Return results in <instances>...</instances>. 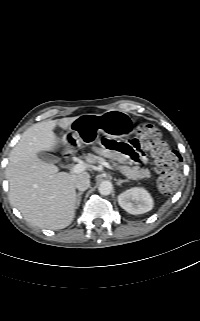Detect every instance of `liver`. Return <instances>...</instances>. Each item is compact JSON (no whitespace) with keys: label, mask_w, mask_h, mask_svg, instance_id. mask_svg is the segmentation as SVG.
Listing matches in <instances>:
<instances>
[{"label":"liver","mask_w":200,"mask_h":321,"mask_svg":"<svg viewBox=\"0 0 200 321\" xmlns=\"http://www.w3.org/2000/svg\"><path fill=\"white\" fill-rule=\"evenodd\" d=\"M77 117L43 121L29 127L9 155L6 177L9 200L24 219L37 227L63 229L75 216V182L80 176L58 172V167L38 157L39 152L55 151L59 139L56 126L69 129ZM65 144V143H64Z\"/></svg>","instance_id":"6515ba94"}]
</instances>
